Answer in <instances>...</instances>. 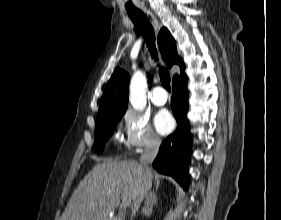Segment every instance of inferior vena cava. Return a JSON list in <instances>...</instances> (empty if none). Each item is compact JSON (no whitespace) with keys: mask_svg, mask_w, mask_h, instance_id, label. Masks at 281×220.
Returning a JSON list of instances; mask_svg holds the SVG:
<instances>
[{"mask_svg":"<svg viewBox=\"0 0 281 220\" xmlns=\"http://www.w3.org/2000/svg\"><path fill=\"white\" fill-rule=\"evenodd\" d=\"M160 141L159 139L153 138L151 139L148 144L145 146L144 152L140 158V164L144 168L145 177L143 184L139 188V192L137 193L136 197L134 198V203L132 206V217L138 211L141 202L143 201L144 197L147 196L148 191L152 185V170L150 164H152L153 160L157 156L159 151Z\"/></svg>","mask_w":281,"mask_h":220,"instance_id":"1","label":"inferior vena cava"}]
</instances>
